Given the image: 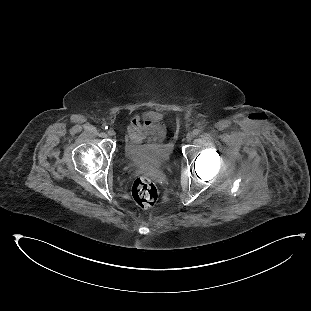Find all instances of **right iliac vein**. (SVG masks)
<instances>
[{"mask_svg":"<svg viewBox=\"0 0 311 311\" xmlns=\"http://www.w3.org/2000/svg\"><path fill=\"white\" fill-rule=\"evenodd\" d=\"M107 133H108L109 136H114L115 135V131L113 129H109L107 131Z\"/></svg>","mask_w":311,"mask_h":311,"instance_id":"1","label":"right iliac vein"}]
</instances>
